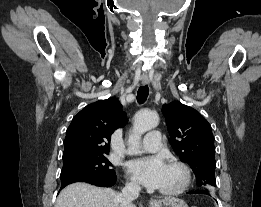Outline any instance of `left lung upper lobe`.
I'll return each instance as SVG.
<instances>
[{
	"instance_id": "left-lung-upper-lobe-1",
	"label": "left lung upper lobe",
	"mask_w": 261,
	"mask_h": 207,
	"mask_svg": "<svg viewBox=\"0 0 261 207\" xmlns=\"http://www.w3.org/2000/svg\"><path fill=\"white\" fill-rule=\"evenodd\" d=\"M169 142L181 161L190 165L198 186H216L215 147L211 125L195 109L178 101L162 106Z\"/></svg>"
}]
</instances>
